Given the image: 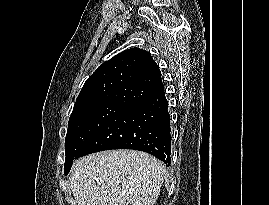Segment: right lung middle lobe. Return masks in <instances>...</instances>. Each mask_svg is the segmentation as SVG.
I'll return each instance as SVG.
<instances>
[{
    "mask_svg": "<svg viewBox=\"0 0 269 205\" xmlns=\"http://www.w3.org/2000/svg\"><path fill=\"white\" fill-rule=\"evenodd\" d=\"M126 108L119 104H96L73 110L65 139V175L69 173L80 150L104 125Z\"/></svg>",
    "mask_w": 269,
    "mask_h": 205,
    "instance_id": "right-lung-middle-lobe-1",
    "label": "right lung middle lobe"
}]
</instances>
